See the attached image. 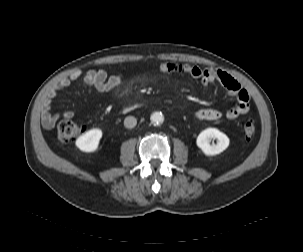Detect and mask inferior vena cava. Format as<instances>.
Instances as JSON below:
<instances>
[{"mask_svg": "<svg viewBox=\"0 0 303 252\" xmlns=\"http://www.w3.org/2000/svg\"><path fill=\"white\" fill-rule=\"evenodd\" d=\"M136 124H137V120L133 116H128L124 120V126L126 128H134L136 126Z\"/></svg>", "mask_w": 303, "mask_h": 252, "instance_id": "1", "label": "inferior vena cava"}]
</instances>
